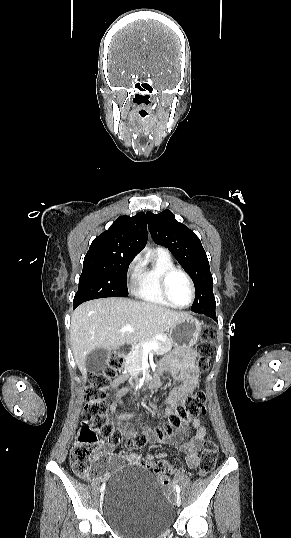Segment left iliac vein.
I'll use <instances>...</instances> for the list:
<instances>
[{
	"instance_id": "left-iliac-vein-1",
	"label": "left iliac vein",
	"mask_w": 291,
	"mask_h": 538,
	"mask_svg": "<svg viewBox=\"0 0 291 538\" xmlns=\"http://www.w3.org/2000/svg\"><path fill=\"white\" fill-rule=\"evenodd\" d=\"M176 504H177V506L181 505V497H180V495H177V497H176Z\"/></svg>"
}]
</instances>
